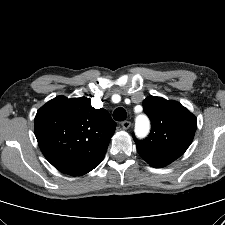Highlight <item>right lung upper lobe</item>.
<instances>
[{
	"mask_svg": "<svg viewBox=\"0 0 225 225\" xmlns=\"http://www.w3.org/2000/svg\"><path fill=\"white\" fill-rule=\"evenodd\" d=\"M116 123L105 109H95L86 97L58 96L35 117V135L45 158L70 176L97 167L114 134Z\"/></svg>",
	"mask_w": 225,
	"mask_h": 225,
	"instance_id": "right-lung-upper-lobe-1",
	"label": "right lung upper lobe"
}]
</instances>
